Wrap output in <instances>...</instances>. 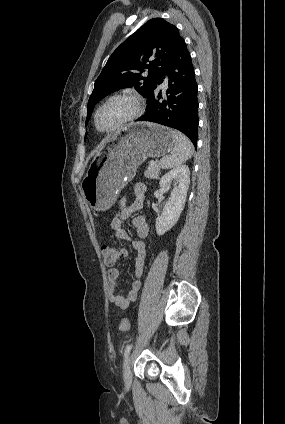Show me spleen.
<instances>
[{
  "label": "spleen",
  "mask_w": 285,
  "mask_h": 424,
  "mask_svg": "<svg viewBox=\"0 0 285 424\" xmlns=\"http://www.w3.org/2000/svg\"><path fill=\"white\" fill-rule=\"evenodd\" d=\"M174 147L171 155L160 160V166L164 169L178 167L192 157L194 147L191 141L181 132L173 131Z\"/></svg>",
  "instance_id": "obj_1"
}]
</instances>
